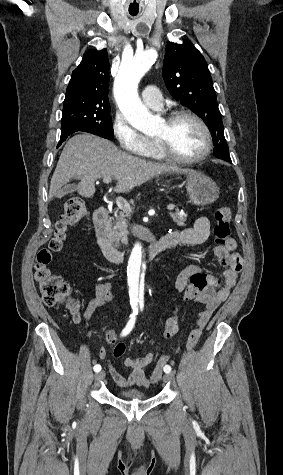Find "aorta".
Segmentation results:
<instances>
[{"label":"aorta","mask_w":283,"mask_h":475,"mask_svg":"<svg viewBox=\"0 0 283 475\" xmlns=\"http://www.w3.org/2000/svg\"><path fill=\"white\" fill-rule=\"evenodd\" d=\"M154 48L136 53L132 58L123 59L114 81L116 103L125 119L137 130L147 134H156L161 120L147 109L138 96V84L144 74L157 59ZM145 229H140L141 238ZM145 256L140 242L134 245L127 265L129 298L132 307L144 303V279L146 273Z\"/></svg>","instance_id":"aorta-1"}]
</instances>
